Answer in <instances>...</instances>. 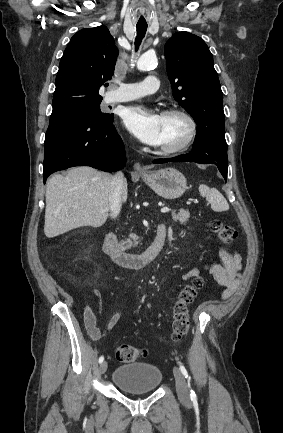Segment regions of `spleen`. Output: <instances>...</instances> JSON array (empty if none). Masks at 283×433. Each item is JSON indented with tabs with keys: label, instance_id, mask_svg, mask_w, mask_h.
Here are the masks:
<instances>
[{
	"label": "spleen",
	"instance_id": "3e777b00",
	"mask_svg": "<svg viewBox=\"0 0 283 433\" xmlns=\"http://www.w3.org/2000/svg\"><path fill=\"white\" fill-rule=\"evenodd\" d=\"M199 192L201 196H206L208 202L211 204L212 210L221 212V210H228L229 204L225 200L223 194L217 188H209L207 184H200Z\"/></svg>",
	"mask_w": 283,
	"mask_h": 433
}]
</instances>
